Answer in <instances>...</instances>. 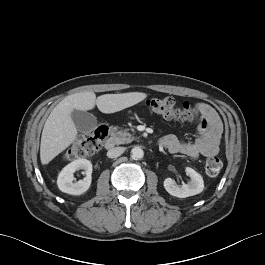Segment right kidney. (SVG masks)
I'll list each match as a JSON object with an SVG mask.
<instances>
[{
    "mask_svg": "<svg viewBox=\"0 0 265 265\" xmlns=\"http://www.w3.org/2000/svg\"><path fill=\"white\" fill-rule=\"evenodd\" d=\"M83 169L85 171L86 177L73 183L74 172ZM91 174H92V164L87 159H77L66 165L58 175L57 185L58 188L64 192L71 195H81L86 192L91 185Z\"/></svg>",
    "mask_w": 265,
    "mask_h": 265,
    "instance_id": "1",
    "label": "right kidney"
}]
</instances>
